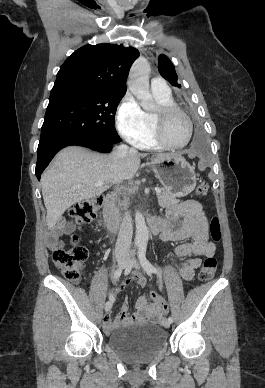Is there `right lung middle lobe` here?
I'll return each instance as SVG.
<instances>
[{
	"label": "right lung middle lobe",
	"instance_id": "obj_1",
	"mask_svg": "<svg viewBox=\"0 0 265 388\" xmlns=\"http://www.w3.org/2000/svg\"><path fill=\"white\" fill-rule=\"evenodd\" d=\"M121 90H74L50 94L40 139L75 132L99 142L115 144L122 139L114 127Z\"/></svg>",
	"mask_w": 265,
	"mask_h": 388
}]
</instances>
